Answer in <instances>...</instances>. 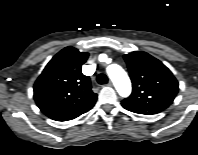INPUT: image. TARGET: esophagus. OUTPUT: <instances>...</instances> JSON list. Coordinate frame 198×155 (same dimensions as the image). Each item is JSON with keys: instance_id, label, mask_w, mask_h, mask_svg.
Returning a JSON list of instances; mask_svg holds the SVG:
<instances>
[{"instance_id": "obj_1", "label": "esophagus", "mask_w": 198, "mask_h": 155, "mask_svg": "<svg viewBox=\"0 0 198 155\" xmlns=\"http://www.w3.org/2000/svg\"><path fill=\"white\" fill-rule=\"evenodd\" d=\"M107 86H113V82L112 81H109Z\"/></svg>"}]
</instances>
